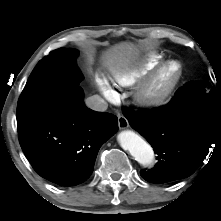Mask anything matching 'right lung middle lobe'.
I'll use <instances>...</instances> for the list:
<instances>
[{"mask_svg":"<svg viewBox=\"0 0 221 221\" xmlns=\"http://www.w3.org/2000/svg\"><path fill=\"white\" fill-rule=\"evenodd\" d=\"M77 55L76 49L60 48L39 61L18 101V129L41 119L79 86L83 77L75 63Z\"/></svg>","mask_w":221,"mask_h":221,"instance_id":"right-lung-middle-lobe-1","label":"right lung middle lobe"}]
</instances>
